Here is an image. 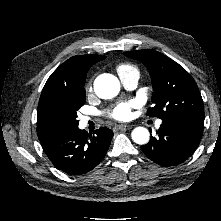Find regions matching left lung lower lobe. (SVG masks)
I'll use <instances>...</instances> for the list:
<instances>
[{"label":"left lung lower lobe","instance_id":"left-lung-lower-lobe-1","mask_svg":"<svg viewBox=\"0 0 221 221\" xmlns=\"http://www.w3.org/2000/svg\"><path fill=\"white\" fill-rule=\"evenodd\" d=\"M203 120L175 118L163 120L158 137L151 136L146 145L141 146L144 154L162 166H174L189 158L201 140Z\"/></svg>","mask_w":221,"mask_h":221}]
</instances>
